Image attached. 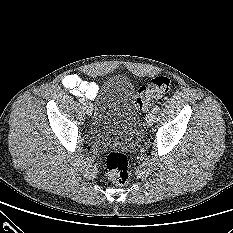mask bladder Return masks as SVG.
Instances as JSON below:
<instances>
[{"mask_svg": "<svg viewBox=\"0 0 233 233\" xmlns=\"http://www.w3.org/2000/svg\"><path fill=\"white\" fill-rule=\"evenodd\" d=\"M135 113V90L131 81L124 75L112 77L96 101L91 126L96 143L134 145L140 136Z\"/></svg>", "mask_w": 233, "mask_h": 233, "instance_id": "1", "label": "bladder"}]
</instances>
